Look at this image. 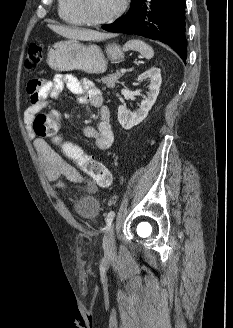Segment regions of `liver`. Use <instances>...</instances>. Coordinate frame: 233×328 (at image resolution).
<instances>
[{
  "instance_id": "1",
  "label": "liver",
  "mask_w": 233,
  "mask_h": 328,
  "mask_svg": "<svg viewBox=\"0 0 233 328\" xmlns=\"http://www.w3.org/2000/svg\"><path fill=\"white\" fill-rule=\"evenodd\" d=\"M48 27L55 33L68 38L70 40H82V41H99L105 38V34L90 30L66 27L61 25H48Z\"/></svg>"
}]
</instances>
